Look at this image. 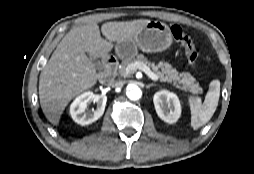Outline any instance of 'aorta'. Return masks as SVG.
<instances>
[{"label":"aorta","mask_w":254,"mask_h":174,"mask_svg":"<svg viewBox=\"0 0 254 174\" xmlns=\"http://www.w3.org/2000/svg\"><path fill=\"white\" fill-rule=\"evenodd\" d=\"M126 95L130 100H138L142 96V91L138 86L130 84L126 87Z\"/></svg>","instance_id":"aorta-1"}]
</instances>
